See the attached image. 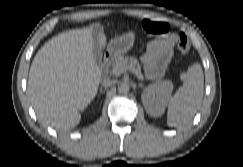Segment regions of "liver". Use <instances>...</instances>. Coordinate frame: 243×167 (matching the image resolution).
Returning a JSON list of instances; mask_svg holds the SVG:
<instances>
[{
  "label": "liver",
  "instance_id": "1",
  "mask_svg": "<svg viewBox=\"0 0 243 167\" xmlns=\"http://www.w3.org/2000/svg\"><path fill=\"white\" fill-rule=\"evenodd\" d=\"M99 42L106 45L104 34ZM92 46V28H84L53 37L38 51L28 91L41 122L57 129L79 124V111L94 99L101 81Z\"/></svg>",
  "mask_w": 243,
  "mask_h": 167
}]
</instances>
